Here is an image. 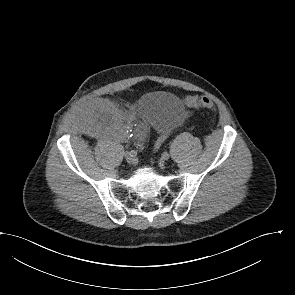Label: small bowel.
I'll return each instance as SVG.
<instances>
[{"label": "small bowel", "mask_w": 295, "mask_h": 295, "mask_svg": "<svg viewBox=\"0 0 295 295\" xmlns=\"http://www.w3.org/2000/svg\"><path fill=\"white\" fill-rule=\"evenodd\" d=\"M191 97L184 98L186 104ZM82 119L100 134L122 141L129 137V131H133L130 137L138 147L143 146L149 134V127L144 120L138 119L134 112L126 113L118 110L106 99L89 101L84 107ZM166 137V134L162 135L159 142Z\"/></svg>", "instance_id": "1"}]
</instances>
